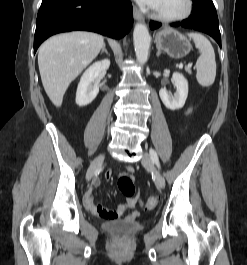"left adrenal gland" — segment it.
<instances>
[{
    "mask_svg": "<svg viewBox=\"0 0 247 265\" xmlns=\"http://www.w3.org/2000/svg\"><path fill=\"white\" fill-rule=\"evenodd\" d=\"M160 54H161V50L158 48V51H157V54H156V56H157V57H159V56H160Z\"/></svg>",
    "mask_w": 247,
    "mask_h": 265,
    "instance_id": "1",
    "label": "left adrenal gland"
}]
</instances>
